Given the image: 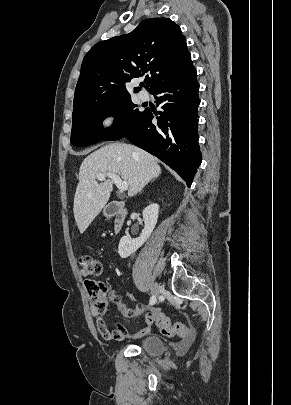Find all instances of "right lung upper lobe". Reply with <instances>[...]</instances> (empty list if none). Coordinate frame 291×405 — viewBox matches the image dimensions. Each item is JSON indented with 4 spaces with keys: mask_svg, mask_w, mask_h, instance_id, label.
<instances>
[{
    "mask_svg": "<svg viewBox=\"0 0 291 405\" xmlns=\"http://www.w3.org/2000/svg\"><path fill=\"white\" fill-rule=\"evenodd\" d=\"M148 72L145 88L150 93L163 83L196 72L185 37L169 18L144 20L129 34L96 43L82 62L73 113L130 96L126 83ZM140 89L136 87L134 91Z\"/></svg>",
    "mask_w": 291,
    "mask_h": 405,
    "instance_id": "cb5924a9",
    "label": "right lung upper lobe"
}]
</instances>
